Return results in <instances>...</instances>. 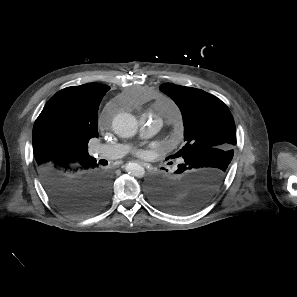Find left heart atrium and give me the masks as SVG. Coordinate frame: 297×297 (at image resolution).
Instances as JSON below:
<instances>
[{
    "label": "left heart atrium",
    "mask_w": 297,
    "mask_h": 297,
    "mask_svg": "<svg viewBox=\"0 0 297 297\" xmlns=\"http://www.w3.org/2000/svg\"><path fill=\"white\" fill-rule=\"evenodd\" d=\"M135 153L139 156H143L145 154V151L141 150V149H136Z\"/></svg>",
    "instance_id": "obj_1"
}]
</instances>
